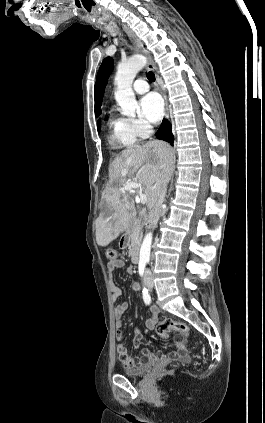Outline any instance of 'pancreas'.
I'll list each match as a JSON object with an SVG mask.
<instances>
[{"label": "pancreas", "instance_id": "pancreas-1", "mask_svg": "<svg viewBox=\"0 0 265 423\" xmlns=\"http://www.w3.org/2000/svg\"><path fill=\"white\" fill-rule=\"evenodd\" d=\"M142 226L140 224H137L132 232H131V239L133 240V244L140 238L141 235Z\"/></svg>", "mask_w": 265, "mask_h": 423}]
</instances>
